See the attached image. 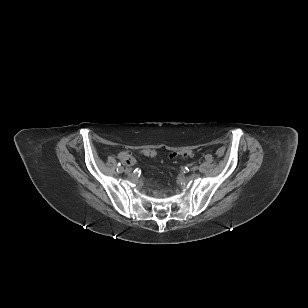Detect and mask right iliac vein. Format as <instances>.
Instances as JSON below:
<instances>
[{
    "mask_svg": "<svg viewBox=\"0 0 308 308\" xmlns=\"http://www.w3.org/2000/svg\"><path fill=\"white\" fill-rule=\"evenodd\" d=\"M124 171H125V173H127V174H129V173L131 172V170H130V169H128V168H127V169H125Z\"/></svg>",
    "mask_w": 308,
    "mask_h": 308,
    "instance_id": "obj_1",
    "label": "right iliac vein"
}]
</instances>
